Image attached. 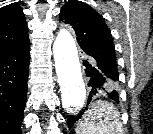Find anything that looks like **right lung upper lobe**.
Listing matches in <instances>:
<instances>
[{"mask_svg":"<svg viewBox=\"0 0 153 134\" xmlns=\"http://www.w3.org/2000/svg\"><path fill=\"white\" fill-rule=\"evenodd\" d=\"M29 42L23 10L18 3L0 9V56Z\"/></svg>","mask_w":153,"mask_h":134,"instance_id":"obj_1","label":"right lung upper lobe"}]
</instances>
